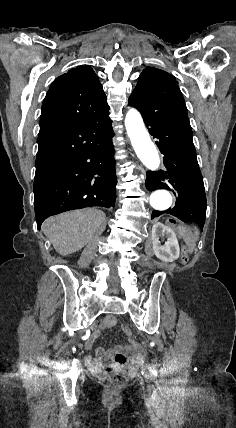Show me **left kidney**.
Listing matches in <instances>:
<instances>
[{
	"instance_id": "obj_1",
	"label": "left kidney",
	"mask_w": 236,
	"mask_h": 428,
	"mask_svg": "<svg viewBox=\"0 0 236 428\" xmlns=\"http://www.w3.org/2000/svg\"><path fill=\"white\" fill-rule=\"evenodd\" d=\"M162 236L167 238L164 246H161V242H159V238H162ZM152 242L154 254L162 262H174V260L179 258L180 248L176 234L168 226H164L160 222L154 224L152 228Z\"/></svg>"
}]
</instances>
